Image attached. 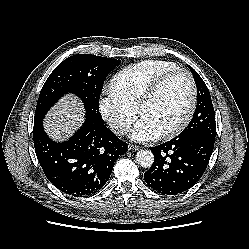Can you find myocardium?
Masks as SVG:
<instances>
[{
  "instance_id": "obj_1",
  "label": "myocardium",
  "mask_w": 249,
  "mask_h": 249,
  "mask_svg": "<svg viewBox=\"0 0 249 249\" xmlns=\"http://www.w3.org/2000/svg\"><path fill=\"white\" fill-rule=\"evenodd\" d=\"M177 73L185 74L188 79L190 87L189 106L186 113L177 124L162 132L163 137H173L182 132L188 126L195 113L197 105V87L192 73L188 69L183 67H176L174 69L164 72L151 83V85L141 97L136 108L137 113L141 115L143 109L155 98V96L159 92L162 85L166 82V80Z\"/></svg>"
}]
</instances>
